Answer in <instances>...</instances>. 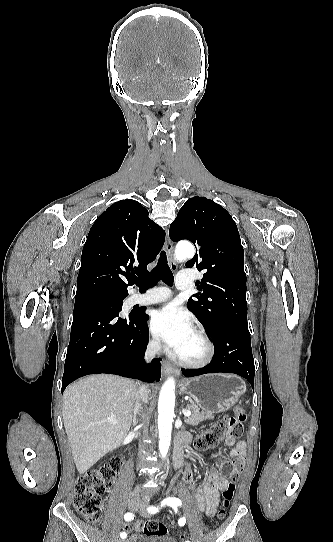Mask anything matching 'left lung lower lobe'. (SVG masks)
<instances>
[{
  "mask_svg": "<svg viewBox=\"0 0 333 542\" xmlns=\"http://www.w3.org/2000/svg\"><path fill=\"white\" fill-rule=\"evenodd\" d=\"M214 356L210 364L196 370H184L186 377L207 373H234L246 378L254 388L255 366L247 321L228 320L221 324L215 335Z\"/></svg>",
  "mask_w": 333,
  "mask_h": 542,
  "instance_id": "left-lung-lower-lobe-1",
  "label": "left lung lower lobe"
}]
</instances>
